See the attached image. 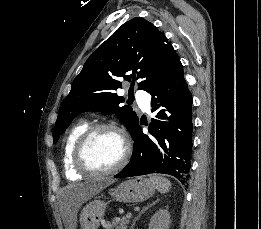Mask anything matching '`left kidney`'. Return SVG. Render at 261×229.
Returning <instances> with one entry per match:
<instances>
[{"label": "left kidney", "instance_id": "left-kidney-1", "mask_svg": "<svg viewBox=\"0 0 261 229\" xmlns=\"http://www.w3.org/2000/svg\"><path fill=\"white\" fill-rule=\"evenodd\" d=\"M171 223L170 213L167 209H160L155 215H153L149 229H169Z\"/></svg>", "mask_w": 261, "mask_h": 229}]
</instances>
